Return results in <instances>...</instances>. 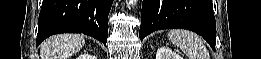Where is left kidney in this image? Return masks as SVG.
Segmentation results:
<instances>
[{
    "label": "left kidney",
    "instance_id": "1",
    "mask_svg": "<svg viewBox=\"0 0 261 59\" xmlns=\"http://www.w3.org/2000/svg\"><path fill=\"white\" fill-rule=\"evenodd\" d=\"M156 59H183V57L163 46L158 48L156 52Z\"/></svg>",
    "mask_w": 261,
    "mask_h": 59
}]
</instances>
